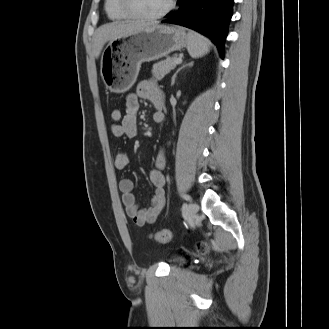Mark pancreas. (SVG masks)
I'll use <instances>...</instances> for the list:
<instances>
[{
  "instance_id": "cf45deb5",
  "label": "pancreas",
  "mask_w": 329,
  "mask_h": 329,
  "mask_svg": "<svg viewBox=\"0 0 329 329\" xmlns=\"http://www.w3.org/2000/svg\"><path fill=\"white\" fill-rule=\"evenodd\" d=\"M177 57H167L153 65L152 75L156 80H161L166 74L175 68V60Z\"/></svg>"
}]
</instances>
